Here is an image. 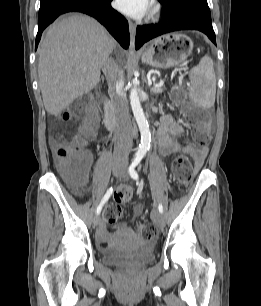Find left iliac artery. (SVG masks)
Returning a JSON list of instances; mask_svg holds the SVG:
<instances>
[{"label": "left iliac artery", "mask_w": 261, "mask_h": 306, "mask_svg": "<svg viewBox=\"0 0 261 306\" xmlns=\"http://www.w3.org/2000/svg\"><path fill=\"white\" fill-rule=\"evenodd\" d=\"M140 161H141V158H138V157L135 158L134 161L132 162V164L129 167V174H130L131 178H133L134 180L139 179V176H138V173L135 170V167L140 163ZM158 210H159L160 213H163L162 204L158 205Z\"/></svg>", "instance_id": "obj_1"}]
</instances>
